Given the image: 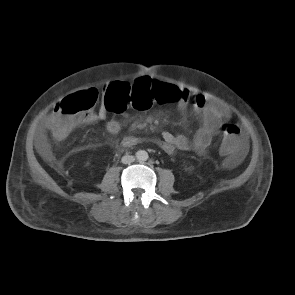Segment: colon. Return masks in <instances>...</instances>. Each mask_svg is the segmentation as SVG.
<instances>
[{
	"mask_svg": "<svg viewBox=\"0 0 295 295\" xmlns=\"http://www.w3.org/2000/svg\"><path fill=\"white\" fill-rule=\"evenodd\" d=\"M177 97L173 85L159 82L144 81L136 87L128 83H113L104 91V103L113 111L122 112L128 104L132 110H152V102H171ZM98 98L95 89H87L72 94L55 107V119L50 131L57 140L68 137L72 131L90 114ZM240 129L237 125L230 124L223 129L221 147L227 153L238 150L240 146Z\"/></svg>",
	"mask_w": 295,
	"mask_h": 295,
	"instance_id": "colon-1",
	"label": "colon"
}]
</instances>
